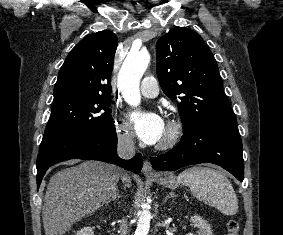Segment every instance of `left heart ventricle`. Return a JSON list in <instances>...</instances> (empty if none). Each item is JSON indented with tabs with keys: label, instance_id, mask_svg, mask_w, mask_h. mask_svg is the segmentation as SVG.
I'll use <instances>...</instances> for the list:
<instances>
[{
	"label": "left heart ventricle",
	"instance_id": "left-heart-ventricle-1",
	"mask_svg": "<svg viewBox=\"0 0 283 235\" xmlns=\"http://www.w3.org/2000/svg\"><path fill=\"white\" fill-rule=\"evenodd\" d=\"M166 134H167V128L165 129V132H164V134H163V136H162V138L159 142H161L166 137Z\"/></svg>",
	"mask_w": 283,
	"mask_h": 235
}]
</instances>
